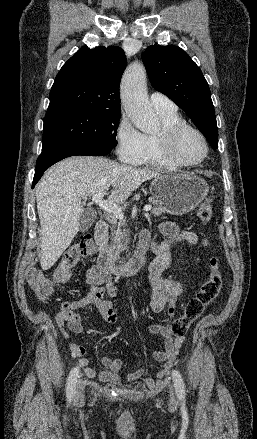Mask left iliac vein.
Segmentation results:
<instances>
[{
    "label": "left iliac vein",
    "mask_w": 257,
    "mask_h": 439,
    "mask_svg": "<svg viewBox=\"0 0 257 439\" xmlns=\"http://www.w3.org/2000/svg\"><path fill=\"white\" fill-rule=\"evenodd\" d=\"M171 401H172V402L175 401V398H174V396H173V393H171Z\"/></svg>",
    "instance_id": "1"
}]
</instances>
